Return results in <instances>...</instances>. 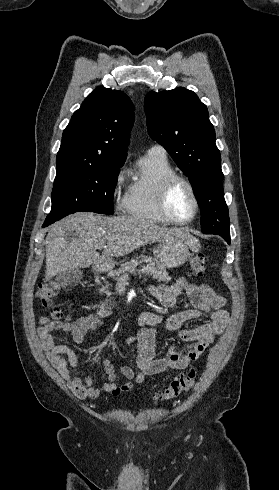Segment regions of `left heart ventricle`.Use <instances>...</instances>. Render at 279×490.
I'll return each instance as SVG.
<instances>
[{
	"instance_id": "left-heart-ventricle-1",
	"label": "left heart ventricle",
	"mask_w": 279,
	"mask_h": 490,
	"mask_svg": "<svg viewBox=\"0 0 279 490\" xmlns=\"http://www.w3.org/2000/svg\"><path fill=\"white\" fill-rule=\"evenodd\" d=\"M173 215L179 220H187L193 213L194 203L189 188L181 183L171 198Z\"/></svg>"
}]
</instances>
